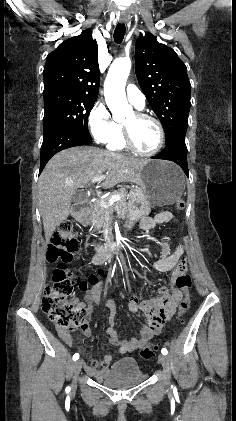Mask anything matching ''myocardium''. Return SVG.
Wrapping results in <instances>:
<instances>
[{
  "label": "myocardium",
  "mask_w": 236,
  "mask_h": 421,
  "mask_svg": "<svg viewBox=\"0 0 236 421\" xmlns=\"http://www.w3.org/2000/svg\"><path fill=\"white\" fill-rule=\"evenodd\" d=\"M135 116L139 119L149 120L150 122H152L156 126L157 131H158V143H157L156 147L150 152H144V151L139 150L135 146V144L133 143L127 126L125 124H122V134H123V140H124L125 146L128 149H130L132 152L136 153L137 155L143 156V157H151V156L157 155L160 152V150L162 149V147L164 145V142H165V131H164V128H163L162 124L155 117H153L149 114L140 112V111H136Z\"/></svg>",
  "instance_id": "f54148a6"
}]
</instances>
